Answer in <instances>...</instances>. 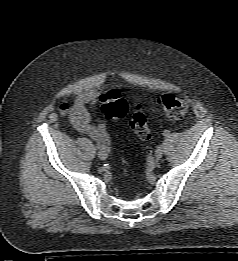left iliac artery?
<instances>
[{
	"instance_id": "44dca946",
	"label": "left iliac artery",
	"mask_w": 238,
	"mask_h": 261,
	"mask_svg": "<svg viewBox=\"0 0 238 261\" xmlns=\"http://www.w3.org/2000/svg\"><path fill=\"white\" fill-rule=\"evenodd\" d=\"M169 134H170V132H169L168 130H165L164 133H163V135H164L165 137H168Z\"/></svg>"
}]
</instances>
